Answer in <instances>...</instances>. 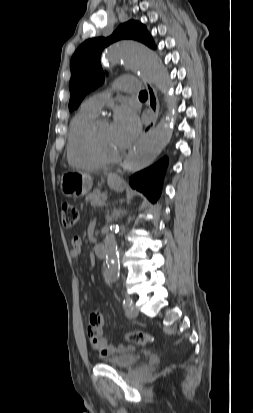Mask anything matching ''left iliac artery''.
Masks as SVG:
<instances>
[{
    "mask_svg": "<svg viewBox=\"0 0 253 413\" xmlns=\"http://www.w3.org/2000/svg\"><path fill=\"white\" fill-rule=\"evenodd\" d=\"M131 303H132V300L129 297H126L123 301V305L125 307H129L131 305Z\"/></svg>",
    "mask_w": 253,
    "mask_h": 413,
    "instance_id": "1",
    "label": "left iliac artery"
}]
</instances>
